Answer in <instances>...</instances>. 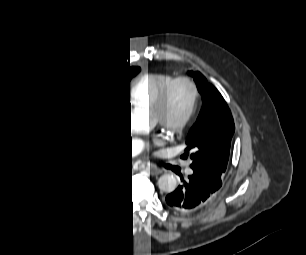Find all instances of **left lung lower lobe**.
<instances>
[{
    "mask_svg": "<svg viewBox=\"0 0 306 255\" xmlns=\"http://www.w3.org/2000/svg\"><path fill=\"white\" fill-rule=\"evenodd\" d=\"M177 169L179 170L178 167ZM177 173L183 184L166 196V203L179 211L191 212L204 206L222 185L221 176L205 166L193 168L186 180L178 171Z\"/></svg>",
    "mask_w": 306,
    "mask_h": 255,
    "instance_id": "1",
    "label": "left lung lower lobe"
}]
</instances>
